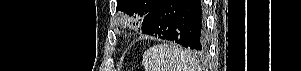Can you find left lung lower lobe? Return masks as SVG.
Instances as JSON below:
<instances>
[{"label": "left lung lower lobe", "instance_id": "obj_1", "mask_svg": "<svg viewBox=\"0 0 301 71\" xmlns=\"http://www.w3.org/2000/svg\"><path fill=\"white\" fill-rule=\"evenodd\" d=\"M142 33L202 51L206 47L201 0H159L142 22Z\"/></svg>", "mask_w": 301, "mask_h": 71}]
</instances>
